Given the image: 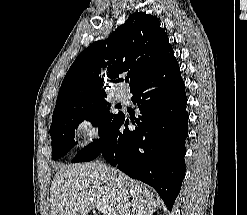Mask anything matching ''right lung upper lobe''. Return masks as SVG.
<instances>
[{
  "label": "right lung upper lobe",
  "mask_w": 247,
  "mask_h": 215,
  "mask_svg": "<svg viewBox=\"0 0 247 215\" xmlns=\"http://www.w3.org/2000/svg\"><path fill=\"white\" fill-rule=\"evenodd\" d=\"M171 49L157 18L143 12L133 13L106 41L94 42L79 54L62 82L54 113L106 95L104 90H98L103 82V78H99L102 67L108 66L107 76L113 82L119 81L114 79L126 72L131 91ZM105 59L109 61L105 63Z\"/></svg>",
  "instance_id": "obj_1"
}]
</instances>
